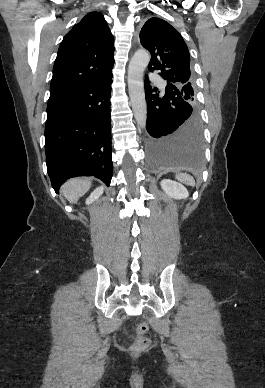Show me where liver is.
I'll use <instances>...</instances> for the list:
<instances>
[{"mask_svg": "<svg viewBox=\"0 0 265 388\" xmlns=\"http://www.w3.org/2000/svg\"><path fill=\"white\" fill-rule=\"evenodd\" d=\"M92 182L87 178H72L61 186V192L70 204H76L81 196H84L91 188Z\"/></svg>", "mask_w": 265, "mask_h": 388, "instance_id": "obj_1", "label": "liver"}]
</instances>
